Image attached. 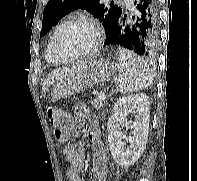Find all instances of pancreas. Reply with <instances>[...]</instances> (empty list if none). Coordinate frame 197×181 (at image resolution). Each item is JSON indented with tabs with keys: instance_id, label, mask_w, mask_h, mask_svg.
Masks as SVG:
<instances>
[{
	"instance_id": "cf45deb5",
	"label": "pancreas",
	"mask_w": 197,
	"mask_h": 181,
	"mask_svg": "<svg viewBox=\"0 0 197 181\" xmlns=\"http://www.w3.org/2000/svg\"><path fill=\"white\" fill-rule=\"evenodd\" d=\"M92 106L96 109H100L103 107V100H100V99H94L92 100Z\"/></svg>"
}]
</instances>
